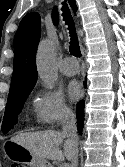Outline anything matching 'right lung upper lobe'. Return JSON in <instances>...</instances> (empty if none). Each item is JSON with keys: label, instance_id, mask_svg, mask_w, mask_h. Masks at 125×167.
Masks as SVG:
<instances>
[{"label": "right lung upper lobe", "instance_id": "1", "mask_svg": "<svg viewBox=\"0 0 125 167\" xmlns=\"http://www.w3.org/2000/svg\"><path fill=\"white\" fill-rule=\"evenodd\" d=\"M71 8L77 10L75 0H69ZM53 23L58 21L54 10ZM40 16L38 13L27 14L20 22L14 37V70L9 96L32 90L37 80L36 50L40 40Z\"/></svg>", "mask_w": 125, "mask_h": 167}]
</instances>
